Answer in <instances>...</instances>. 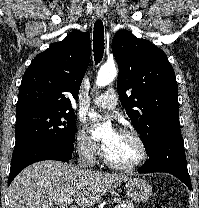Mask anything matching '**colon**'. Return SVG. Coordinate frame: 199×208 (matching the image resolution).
Returning <instances> with one entry per match:
<instances>
[{
  "label": "colon",
  "instance_id": "obj_1",
  "mask_svg": "<svg viewBox=\"0 0 199 208\" xmlns=\"http://www.w3.org/2000/svg\"><path fill=\"white\" fill-rule=\"evenodd\" d=\"M153 208H168V207L161 202H156Z\"/></svg>",
  "mask_w": 199,
  "mask_h": 208
}]
</instances>
